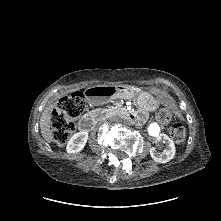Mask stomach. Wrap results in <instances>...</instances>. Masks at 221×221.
<instances>
[{
	"label": "stomach",
	"mask_w": 221,
	"mask_h": 221,
	"mask_svg": "<svg viewBox=\"0 0 221 221\" xmlns=\"http://www.w3.org/2000/svg\"><path fill=\"white\" fill-rule=\"evenodd\" d=\"M125 96H128L146 108H152L156 105V100L153 95L147 91L138 90L135 88H127Z\"/></svg>",
	"instance_id": "stomach-1"
}]
</instances>
